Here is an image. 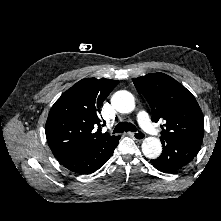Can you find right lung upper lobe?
Here are the masks:
<instances>
[{
	"instance_id": "right-lung-upper-lobe-1",
	"label": "right lung upper lobe",
	"mask_w": 221,
	"mask_h": 221,
	"mask_svg": "<svg viewBox=\"0 0 221 221\" xmlns=\"http://www.w3.org/2000/svg\"><path fill=\"white\" fill-rule=\"evenodd\" d=\"M118 83L104 78L82 79L54 103L45 132L57 159L104 146L119 138L101 132L104 124L99 116L103 101Z\"/></svg>"
}]
</instances>
